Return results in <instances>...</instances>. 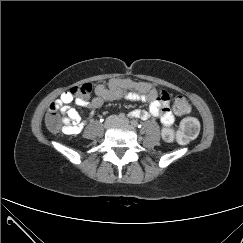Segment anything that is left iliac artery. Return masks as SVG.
I'll use <instances>...</instances> for the list:
<instances>
[{"mask_svg": "<svg viewBox=\"0 0 243 243\" xmlns=\"http://www.w3.org/2000/svg\"><path fill=\"white\" fill-rule=\"evenodd\" d=\"M131 123L134 127H141V125H139L135 120H133Z\"/></svg>", "mask_w": 243, "mask_h": 243, "instance_id": "left-iliac-artery-1", "label": "left iliac artery"}]
</instances>
